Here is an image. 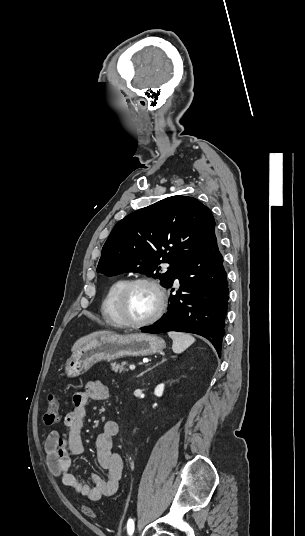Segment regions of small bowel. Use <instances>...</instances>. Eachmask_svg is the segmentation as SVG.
Returning <instances> with one entry per match:
<instances>
[{"instance_id": "small-bowel-1", "label": "small bowel", "mask_w": 305, "mask_h": 536, "mask_svg": "<svg viewBox=\"0 0 305 536\" xmlns=\"http://www.w3.org/2000/svg\"><path fill=\"white\" fill-rule=\"evenodd\" d=\"M110 397L111 392L105 384L97 380L89 381L84 390L74 394L72 407L64 416V431H51L44 443L46 464L52 475L60 477L65 486L74 489L90 501L111 497L118 490L124 467L121 455L114 450V437L118 433V424L113 420L107 421L96 439L97 461L106 471L105 478L92 474L90 476L92 484H83L74 474L68 472V469L71 457L83 452L81 429L87 403L91 400L105 401Z\"/></svg>"}]
</instances>
